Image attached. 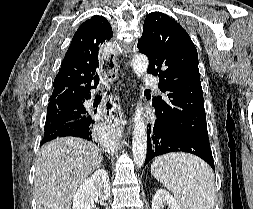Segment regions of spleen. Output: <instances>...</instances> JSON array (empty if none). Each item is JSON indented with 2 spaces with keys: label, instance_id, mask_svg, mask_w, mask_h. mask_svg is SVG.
Here are the masks:
<instances>
[{
  "label": "spleen",
  "instance_id": "spleen-1",
  "mask_svg": "<svg viewBox=\"0 0 253 209\" xmlns=\"http://www.w3.org/2000/svg\"><path fill=\"white\" fill-rule=\"evenodd\" d=\"M151 174L174 194L182 209L214 208V175L200 158L169 153L153 161Z\"/></svg>",
  "mask_w": 253,
  "mask_h": 209
}]
</instances>
